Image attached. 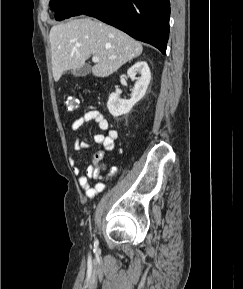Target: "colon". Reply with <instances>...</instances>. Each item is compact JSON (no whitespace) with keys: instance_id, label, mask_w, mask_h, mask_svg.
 Instances as JSON below:
<instances>
[{"instance_id":"1","label":"colon","mask_w":243,"mask_h":289,"mask_svg":"<svg viewBox=\"0 0 243 289\" xmlns=\"http://www.w3.org/2000/svg\"><path fill=\"white\" fill-rule=\"evenodd\" d=\"M78 105H79V101L75 97L69 96L65 100V106L67 107V109L69 111L76 109L78 107Z\"/></svg>"}]
</instances>
